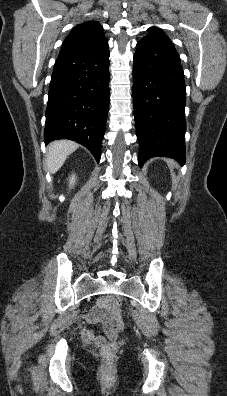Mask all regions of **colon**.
Returning a JSON list of instances; mask_svg holds the SVG:
<instances>
[{
	"mask_svg": "<svg viewBox=\"0 0 227 396\" xmlns=\"http://www.w3.org/2000/svg\"><path fill=\"white\" fill-rule=\"evenodd\" d=\"M123 305V299L120 296H115L112 299V306L115 310H118L122 307ZM122 344V341H116L112 343L106 344L102 348V355L104 356L105 359L110 360L113 358L116 350L118 349L119 345Z\"/></svg>",
	"mask_w": 227,
	"mask_h": 396,
	"instance_id": "colon-1",
	"label": "colon"
}]
</instances>
